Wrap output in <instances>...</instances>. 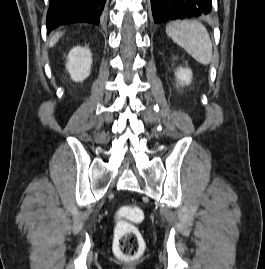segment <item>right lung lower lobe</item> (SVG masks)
<instances>
[{
    "mask_svg": "<svg viewBox=\"0 0 265 269\" xmlns=\"http://www.w3.org/2000/svg\"><path fill=\"white\" fill-rule=\"evenodd\" d=\"M106 0H50L47 13L48 33L58 26L87 22L98 24Z\"/></svg>",
    "mask_w": 265,
    "mask_h": 269,
    "instance_id": "1",
    "label": "right lung lower lobe"
}]
</instances>
